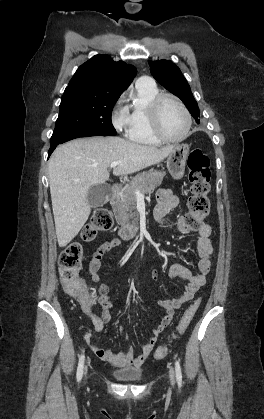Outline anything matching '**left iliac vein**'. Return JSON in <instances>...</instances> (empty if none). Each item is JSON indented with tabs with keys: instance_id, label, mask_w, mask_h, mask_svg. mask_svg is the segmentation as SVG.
I'll use <instances>...</instances> for the list:
<instances>
[{
	"instance_id": "1",
	"label": "left iliac vein",
	"mask_w": 264,
	"mask_h": 419,
	"mask_svg": "<svg viewBox=\"0 0 264 419\" xmlns=\"http://www.w3.org/2000/svg\"><path fill=\"white\" fill-rule=\"evenodd\" d=\"M169 375H170V381H171V383L174 384V382H175V373H174V370L172 368H170Z\"/></svg>"
}]
</instances>
